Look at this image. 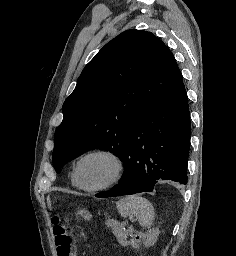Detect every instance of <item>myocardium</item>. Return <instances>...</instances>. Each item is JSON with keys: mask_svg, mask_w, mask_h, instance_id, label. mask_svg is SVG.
Listing matches in <instances>:
<instances>
[{"mask_svg": "<svg viewBox=\"0 0 236 256\" xmlns=\"http://www.w3.org/2000/svg\"><path fill=\"white\" fill-rule=\"evenodd\" d=\"M92 155H106L109 156L115 163L116 165V172L114 174V176L106 183L96 186V187H88L86 186L81 178V164L82 162L89 156ZM125 172V163L123 158L121 157V155L115 151L114 149L111 148H96V149H92L86 153H84L76 162V167H75V175H76V179H77V183L78 185L88 191V192H98V191H102L105 189H108L112 186H114L115 184H117L123 174Z\"/></svg>", "mask_w": 236, "mask_h": 256, "instance_id": "f54148a6", "label": "myocardium"}]
</instances>
